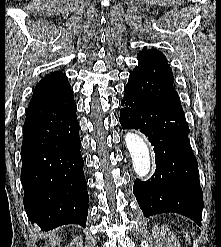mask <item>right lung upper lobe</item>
<instances>
[{
    "mask_svg": "<svg viewBox=\"0 0 221 247\" xmlns=\"http://www.w3.org/2000/svg\"><path fill=\"white\" fill-rule=\"evenodd\" d=\"M71 88L66 75L60 71L47 74L36 85L29 105L57 96Z\"/></svg>",
    "mask_w": 221,
    "mask_h": 247,
    "instance_id": "1",
    "label": "right lung upper lobe"
}]
</instances>
